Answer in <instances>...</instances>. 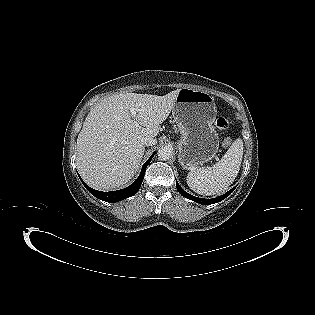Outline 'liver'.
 I'll use <instances>...</instances> for the list:
<instances>
[{
  "label": "liver",
  "instance_id": "obj_1",
  "mask_svg": "<svg viewBox=\"0 0 315 315\" xmlns=\"http://www.w3.org/2000/svg\"><path fill=\"white\" fill-rule=\"evenodd\" d=\"M179 90L164 96L115 94L91 108L77 138V168L89 186L110 190L132 179L145 152L142 140L157 136ZM131 108L136 117L129 113Z\"/></svg>",
  "mask_w": 315,
  "mask_h": 315
}]
</instances>
